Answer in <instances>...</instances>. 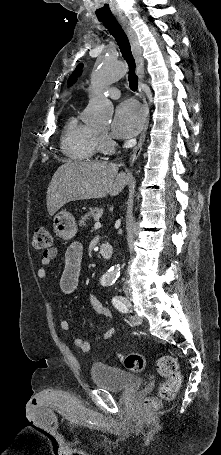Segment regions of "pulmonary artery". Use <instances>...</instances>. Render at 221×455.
I'll use <instances>...</instances> for the list:
<instances>
[{"label": "pulmonary artery", "instance_id": "1", "mask_svg": "<svg viewBox=\"0 0 221 455\" xmlns=\"http://www.w3.org/2000/svg\"><path fill=\"white\" fill-rule=\"evenodd\" d=\"M106 92L111 99H118L120 97V91L115 87L107 88Z\"/></svg>", "mask_w": 221, "mask_h": 455}]
</instances>
